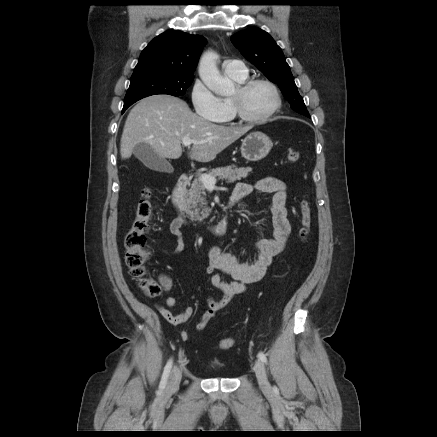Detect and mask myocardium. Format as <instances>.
Masks as SVG:
<instances>
[{"label": "myocardium", "mask_w": 437, "mask_h": 437, "mask_svg": "<svg viewBox=\"0 0 437 437\" xmlns=\"http://www.w3.org/2000/svg\"><path fill=\"white\" fill-rule=\"evenodd\" d=\"M258 84L267 85L273 92L274 95V105L268 113L260 117L249 116L243 109L241 97L248 92L253 86ZM239 95L236 97H231L230 102L233 110L234 117L238 120L249 123V124H261L268 121L273 117L280 109L282 104L281 94L278 87L270 80L264 78H252L246 79L245 81L239 83L238 85Z\"/></svg>", "instance_id": "obj_1"}]
</instances>
